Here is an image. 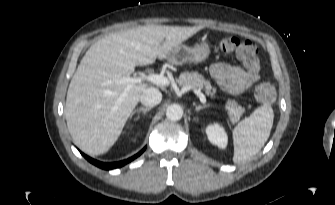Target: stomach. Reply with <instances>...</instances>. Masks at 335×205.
<instances>
[{
    "mask_svg": "<svg viewBox=\"0 0 335 205\" xmlns=\"http://www.w3.org/2000/svg\"><path fill=\"white\" fill-rule=\"evenodd\" d=\"M210 54V47L206 43L197 44L194 47L180 45L174 49L169 55L168 59L178 65L184 63H199L208 58Z\"/></svg>",
    "mask_w": 335,
    "mask_h": 205,
    "instance_id": "obj_1",
    "label": "stomach"
}]
</instances>
